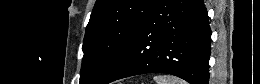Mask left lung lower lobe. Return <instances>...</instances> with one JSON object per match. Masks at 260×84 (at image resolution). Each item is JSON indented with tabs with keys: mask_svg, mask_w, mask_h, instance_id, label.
I'll use <instances>...</instances> for the list:
<instances>
[{
	"mask_svg": "<svg viewBox=\"0 0 260 84\" xmlns=\"http://www.w3.org/2000/svg\"><path fill=\"white\" fill-rule=\"evenodd\" d=\"M210 43L203 0H157L102 84L152 72L208 84Z\"/></svg>",
	"mask_w": 260,
	"mask_h": 84,
	"instance_id": "0a47b994",
	"label": "left lung lower lobe"
}]
</instances>
